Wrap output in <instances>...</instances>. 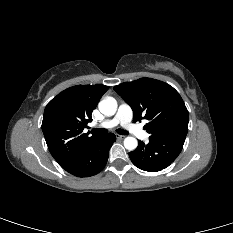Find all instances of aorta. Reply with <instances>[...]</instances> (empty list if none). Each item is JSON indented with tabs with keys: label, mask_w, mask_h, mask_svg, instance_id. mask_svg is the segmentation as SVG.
Here are the masks:
<instances>
[{
	"label": "aorta",
	"mask_w": 233,
	"mask_h": 233,
	"mask_svg": "<svg viewBox=\"0 0 233 233\" xmlns=\"http://www.w3.org/2000/svg\"><path fill=\"white\" fill-rule=\"evenodd\" d=\"M117 106V101L112 97L103 99L98 104L100 112L105 116H113L117 111ZM124 146L127 150L133 151L137 148L138 141L134 137H126L124 139Z\"/></svg>",
	"instance_id": "1"
}]
</instances>
